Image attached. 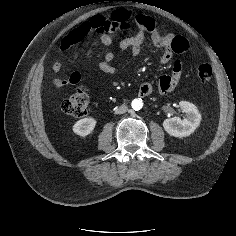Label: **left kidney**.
<instances>
[{
	"mask_svg": "<svg viewBox=\"0 0 236 236\" xmlns=\"http://www.w3.org/2000/svg\"><path fill=\"white\" fill-rule=\"evenodd\" d=\"M179 106L182 112L187 114V118L181 119L179 117H174L166 119L163 122V127L169 135L183 138L191 135L196 128L199 127L201 114L197 107L190 102L181 101Z\"/></svg>",
	"mask_w": 236,
	"mask_h": 236,
	"instance_id": "left-kidney-1",
	"label": "left kidney"
}]
</instances>
